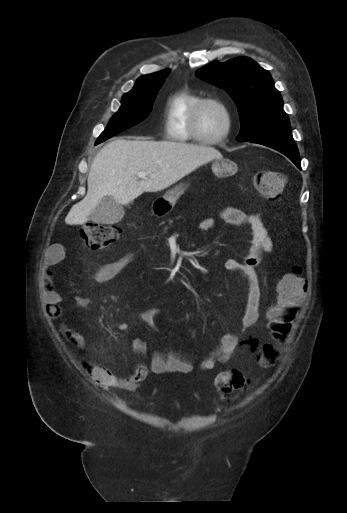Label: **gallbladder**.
<instances>
[{
  "label": "gallbladder",
  "instance_id": "gallbladder-1",
  "mask_svg": "<svg viewBox=\"0 0 347 513\" xmlns=\"http://www.w3.org/2000/svg\"><path fill=\"white\" fill-rule=\"evenodd\" d=\"M125 214L123 205L110 197H104L90 214V220L98 224H114L122 220Z\"/></svg>",
  "mask_w": 347,
  "mask_h": 513
}]
</instances>
